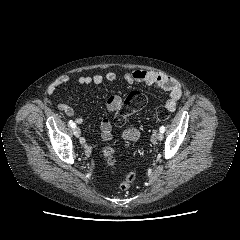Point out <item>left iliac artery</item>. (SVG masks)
Masks as SVG:
<instances>
[{"instance_id":"obj_1","label":"left iliac artery","mask_w":240,"mask_h":240,"mask_svg":"<svg viewBox=\"0 0 240 240\" xmlns=\"http://www.w3.org/2000/svg\"><path fill=\"white\" fill-rule=\"evenodd\" d=\"M159 130H160L161 133H164L165 132V127L161 126Z\"/></svg>"}]
</instances>
